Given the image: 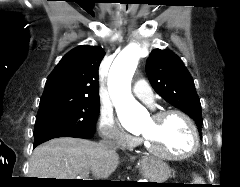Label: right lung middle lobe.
<instances>
[{
  "label": "right lung middle lobe",
  "mask_w": 240,
  "mask_h": 187,
  "mask_svg": "<svg viewBox=\"0 0 240 187\" xmlns=\"http://www.w3.org/2000/svg\"><path fill=\"white\" fill-rule=\"evenodd\" d=\"M99 110V101L56 102L40 105L34 136L50 131L92 136L96 129Z\"/></svg>",
  "instance_id": "dd1d6c3e"
}]
</instances>
